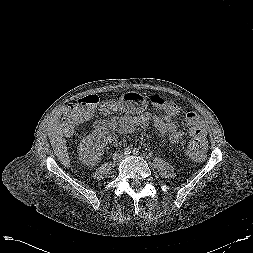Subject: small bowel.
I'll return each instance as SVG.
<instances>
[{
	"label": "small bowel",
	"instance_id": "obj_1",
	"mask_svg": "<svg viewBox=\"0 0 253 253\" xmlns=\"http://www.w3.org/2000/svg\"><path fill=\"white\" fill-rule=\"evenodd\" d=\"M122 120H123V122L129 123V124L136 123L135 119L129 118V117H125ZM153 120H154L156 128L163 136H170V139L173 142H178L180 140L182 134L180 131H178V129L174 123L164 120V119H161V118H154Z\"/></svg>",
	"mask_w": 253,
	"mask_h": 253
}]
</instances>
